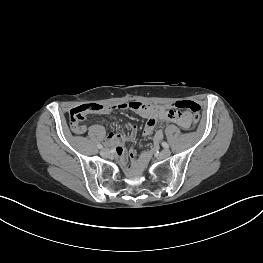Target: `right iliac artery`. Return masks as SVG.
I'll list each match as a JSON object with an SVG mask.
<instances>
[{"label":"right iliac artery","instance_id":"1","mask_svg":"<svg viewBox=\"0 0 263 263\" xmlns=\"http://www.w3.org/2000/svg\"><path fill=\"white\" fill-rule=\"evenodd\" d=\"M97 147H98L99 149H102V148H103V145L98 144Z\"/></svg>","mask_w":263,"mask_h":263}]
</instances>
